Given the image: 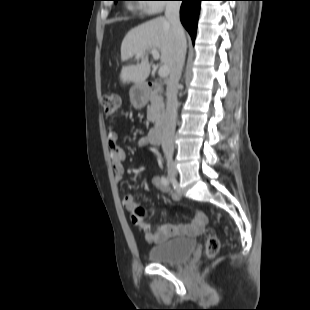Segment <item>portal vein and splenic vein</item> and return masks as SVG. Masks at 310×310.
Returning <instances> with one entry per match:
<instances>
[{
  "instance_id": "1",
  "label": "portal vein and splenic vein",
  "mask_w": 310,
  "mask_h": 310,
  "mask_svg": "<svg viewBox=\"0 0 310 310\" xmlns=\"http://www.w3.org/2000/svg\"><path fill=\"white\" fill-rule=\"evenodd\" d=\"M147 51H150V53L152 54L153 58L155 60H158L160 57L159 51L157 49H149ZM143 55V52H140L136 55V57H141ZM159 77L161 78H165L169 75V68L165 65L161 66L159 71H158Z\"/></svg>"
}]
</instances>
